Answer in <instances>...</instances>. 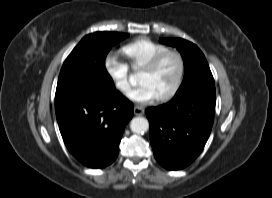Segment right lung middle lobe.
I'll list each match as a JSON object with an SVG mask.
<instances>
[{
	"label": "right lung middle lobe",
	"instance_id": "obj_1",
	"mask_svg": "<svg viewBox=\"0 0 272 198\" xmlns=\"http://www.w3.org/2000/svg\"><path fill=\"white\" fill-rule=\"evenodd\" d=\"M128 37L118 32H95L85 36L65 60L57 83L55 100L79 92H110L115 89L105 68L111 47Z\"/></svg>",
	"mask_w": 272,
	"mask_h": 198
}]
</instances>
